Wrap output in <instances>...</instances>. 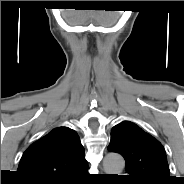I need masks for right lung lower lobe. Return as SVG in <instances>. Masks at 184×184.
<instances>
[{"label":"right lung lower lobe","mask_w":184,"mask_h":184,"mask_svg":"<svg viewBox=\"0 0 184 184\" xmlns=\"http://www.w3.org/2000/svg\"><path fill=\"white\" fill-rule=\"evenodd\" d=\"M87 172V169H86V171L85 172H83L82 174H85ZM74 181V180H73ZM72 182V181H71Z\"/></svg>","instance_id":"98d812e1"}]
</instances>
